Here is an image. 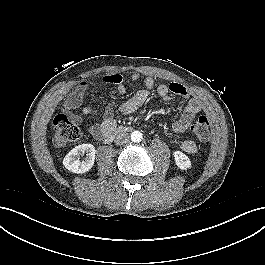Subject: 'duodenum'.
<instances>
[{"label":"duodenum","mask_w":265,"mask_h":265,"mask_svg":"<svg viewBox=\"0 0 265 265\" xmlns=\"http://www.w3.org/2000/svg\"><path fill=\"white\" fill-rule=\"evenodd\" d=\"M128 130H129V128L127 126H118V127H115L110 132L101 133L98 138H101L102 140L107 141V140H110V139L120 135V134L127 132Z\"/></svg>","instance_id":"duodenum-1"}]
</instances>
